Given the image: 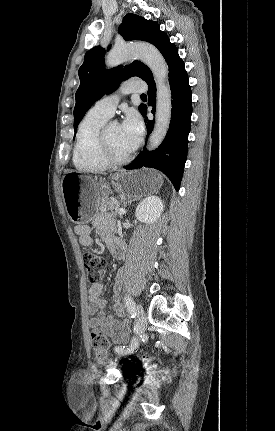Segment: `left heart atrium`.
<instances>
[{
	"mask_svg": "<svg viewBox=\"0 0 275 431\" xmlns=\"http://www.w3.org/2000/svg\"><path fill=\"white\" fill-rule=\"evenodd\" d=\"M143 130L140 116L135 112L128 113L121 125L122 142L128 151L131 152L136 149L141 140Z\"/></svg>",
	"mask_w": 275,
	"mask_h": 431,
	"instance_id": "obj_1",
	"label": "left heart atrium"
}]
</instances>
